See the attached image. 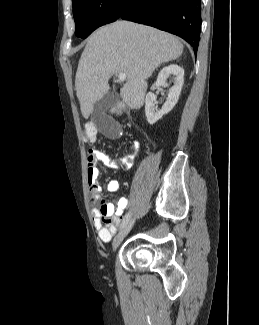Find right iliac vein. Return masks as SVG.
I'll return each instance as SVG.
<instances>
[{
	"instance_id": "63e3f726",
	"label": "right iliac vein",
	"mask_w": 259,
	"mask_h": 325,
	"mask_svg": "<svg viewBox=\"0 0 259 325\" xmlns=\"http://www.w3.org/2000/svg\"><path fill=\"white\" fill-rule=\"evenodd\" d=\"M135 223V219H131L124 228L116 235V237L113 240L112 243V250L115 251L118 246L121 244V242L124 240V238L128 235V233L131 231L133 225Z\"/></svg>"
}]
</instances>
